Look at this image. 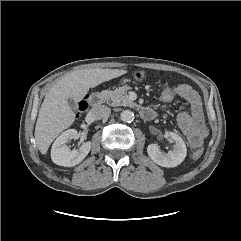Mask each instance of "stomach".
Returning <instances> with one entry per match:
<instances>
[{
	"label": "stomach",
	"mask_w": 241,
	"mask_h": 241,
	"mask_svg": "<svg viewBox=\"0 0 241 241\" xmlns=\"http://www.w3.org/2000/svg\"><path fill=\"white\" fill-rule=\"evenodd\" d=\"M133 76H134V79H135L136 81H142V80H144L145 77H146L145 72H144L143 70H137V71H135L134 74H133ZM127 81H128V79H123V80H122L123 83H126Z\"/></svg>",
	"instance_id": "obj_1"
}]
</instances>
